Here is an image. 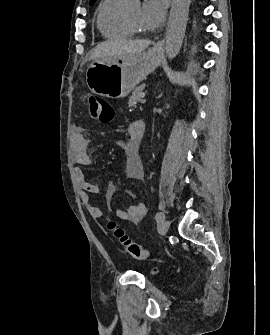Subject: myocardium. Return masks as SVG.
<instances>
[{
    "label": "myocardium",
    "instance_id": "myocardium-1",
    "mask_svg": "<svg viewBox=\"0 0 270 335\" xmlns=\"http://www.w3.org/2000/svg\"><path fill=\"white\" fill-rule=\"evenodd\" d=\"M124 23L126 24V26L133 32V33H138L139 30L135 29L131 23L128 21V19L124 16L123 17Z\"/></svg>",
    "mask_w": 270,
    "mask_h": 335
}]
</instances>
